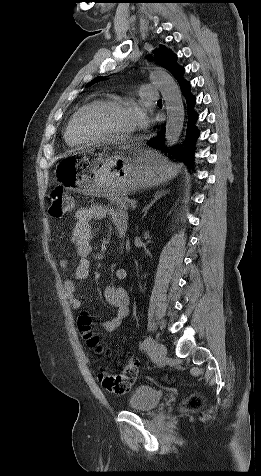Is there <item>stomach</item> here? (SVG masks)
I'll list each match as a JSON object with an SVG mask.
<instances>
[{
  "label": "stomach",
  "mask_w": 261,
  "mask_h": 476,
  "mask_svg": "<svg viewBox=\"0 0 261 476\" xmlns=\"http://www.w3.org/2000/svg\"><path fill=\"white\" fill-rule=\"evenodd\" d=\"M57 169L58 179L66 183L67 190L111 198L158 186L178 173L176 166L161 154L135 144L115 149L111 144H96L95 151L64 156Z\"/></svg>",
  "instance_id": "1"
}]
</instances>
